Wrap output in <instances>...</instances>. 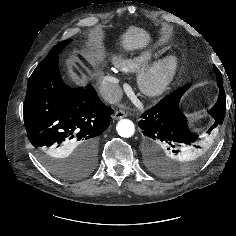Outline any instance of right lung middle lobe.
I'll return each mask as SVG.
<instances>
[{"instance_id":"1","label":"right lung middle lobe","mask_w":236,"mask_h":236,"mask_svg":"<svg viewBox=\"0 0 236 236\" xmlns=\"http://www.w3.org/2000/svg\"><path fill=\"white\" fill-rule=\"evenodd\" d=\"M71 41V39L62 41L54 46L43 61L58 57V53ZM44 166L53 174L67 179L85 176L93 168L94 164L87 161H73L58 159L49 155H41Z\"/></svg>"}]
</instances>
